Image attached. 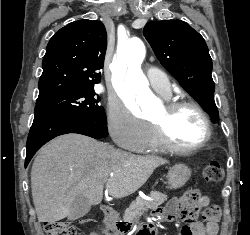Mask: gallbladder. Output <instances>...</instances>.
Listing matches in <instances>:
<instances>
[{
    "instance_id": "gallbladder-1",
    "label": "gallbladder",
    "mask_w": 250,
    "mask_h": 235,
    "mask_svg": "<svg viewBox=\"0 0 250 235\" xmlns=\"http://www.w3.org/2000/svg\"><path fill=\"white\" fill-rule=\"evenodd\" d=\"M88 200L83 196H77L70 205L69 220H76L85 216L90 210Z\"/></svg>"
}]
</instances>
